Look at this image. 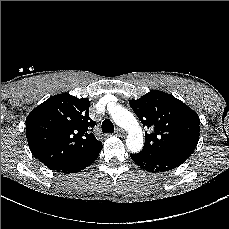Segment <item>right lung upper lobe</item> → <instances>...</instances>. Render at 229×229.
Instances as JSON below:
<instances>
[{"mask_svg":"<svg viewBox=\"0 0 229 229\" xmlns=\"http://www.w3.org/2000/svg\"><path fill=\"white\" fill-rule=\"evenodd\" d=\"M90 101L68 93L50 97L26 119V137L32 154L48 168L67 164L102 145L91 132Z\"/></svg>","mask_w":229,"mask_h":229,"instance_id":"right-lung-upper-lobe-1","label":"right lung upper lobe"}]
</instances>
